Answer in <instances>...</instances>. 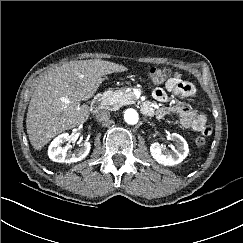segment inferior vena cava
<instances>
[{
	"label": "inferior vena cava",
	"instance_id": "1",
	"mask_svg": "<svg viewBox=\"0 0 243 243\" xmlns=\"http://www.w3.org/2000/svg\"><path fill=\"white\" fill-rule=\"evenodd\" d=\"M110 117V112L107 109H100L95 112V118L98 121H106Z\"/></svg>",
	"mask_w": 243,
	"mask_h": 243
}]
</instances>
